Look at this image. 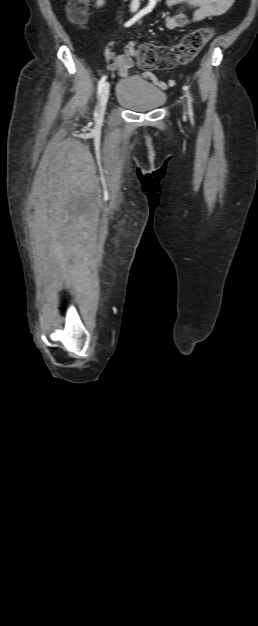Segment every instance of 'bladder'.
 I'll return each mask as SVG.
<instances>
[{"label": "bladder", "instance_id": "1", "mask_svg": "<svg viewBox=\"0 0 258 626\" xmlns=\"http://www.w3.org/2000/svg\"><path fill=\"white\" fill-rule=\"evenodd\" d=\"M116 101L135 112H149L164 105L166 93L140 76H128L115 88Z\"/></svg>", "mask_w": 258, "mask_h": 626}]
</instances>
